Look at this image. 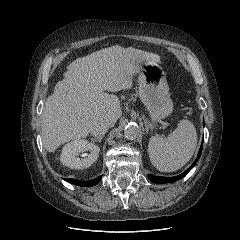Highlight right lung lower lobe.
<instances>
[{
  "label": "right lung lower lobe",
  "instance_id": "1",
  "mask_svg": "<svg viewBox=\"0 0 240 240\" xmlns=\"http://www.w3.org/2000/svg\"><path fill=\"white\" fill-rule=\"evenodd\" d=\"M67 182L77 185V186H82V187H90V186H94L96 184H98L101 180V176H99L98 178L91 180V181H87V182H80V181H76L73 179H65Z\"/></svg>",
  "mask_w": 240,
  "mask_h": 240
}]
</instances>
